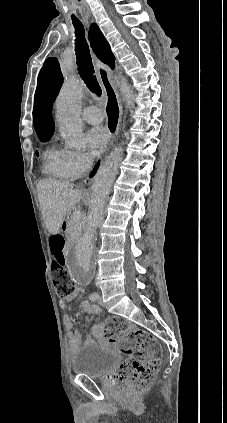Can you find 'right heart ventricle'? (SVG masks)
Here are the masks:
<instances>
[{
	"mask_svg": "<svg viewBox=\"0 0 227 423\" xmlns=\"http://www.w3.org/2000/svg\"><path fill=\"white\" fill-rule=\"evenodd\" d=\"M62 150L48 148L44 152L43 172L53 177L63 178V171L61 166Z\"/></svg>",
	"mask_w": 227,
	"mask_h": 423,
	"instance_id": "right-heart-ventricle-1",
	"label": "right heart ventricle"
}]
</instances>
